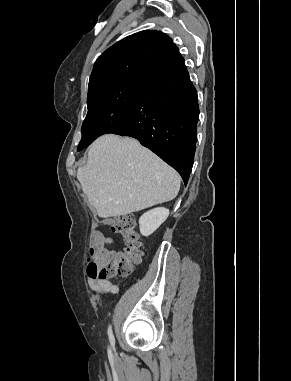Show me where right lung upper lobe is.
<instances>
[{
	"label": "right lung upper lobe",
	"mask_w": 291,
	"mask_h": 381,
	"mask_svg": "<svg viewBox=\"0 0 291 381\" xmlns=\"http://www.w3.org/2000/svg\"><path fill=\"white\" fill-rule=\"evenodd\" d=\"M181 56L165 33L141 31L117 42L101 54L90 76L88 96L131 79H145Z\"/></svg>",
	"instance_id": "obj_1"
}]
</instances>
